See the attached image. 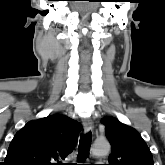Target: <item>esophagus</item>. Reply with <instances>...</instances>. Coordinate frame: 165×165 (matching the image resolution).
Segmentation results:
<instances>
[{"instance_id":"obj_1","label":"esophagus","mask_w":165,"mask_h":165,"mask_svg":"<svg viewBox=\"0 0 165 165\" xmlns=\"http://www.w3.org/2000/svg\"><path fill=\"white\" fill-rule=\"evenodd\" d=\"M83 127L86 132H90L93 129V123L89 118L83 119Z\"/></svg>"}]
</instances>
